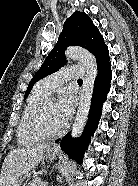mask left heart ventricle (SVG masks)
<instances>
[{
	"label": "left heart ventricle",
	"instance_id": "left-heart-ventricle-1",
	"mask_svg": "<svg viewBox=\"0 0 138 186\" xmlns=\"http://www.w3.org/2000/svg\"><path fill=\"white\" fill-rule=\"evenodd\" d=\"M64 125L57 103H49L39 118L40 128L47 133H53L60 130Z\"/></svg>",
	"mask_w": 138,
	"mask_h": 186
}]
</instances>
